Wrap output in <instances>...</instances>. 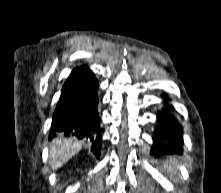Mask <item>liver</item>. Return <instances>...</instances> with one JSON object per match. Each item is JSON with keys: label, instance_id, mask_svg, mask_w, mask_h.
Returning a JSON list of instances; mask_svg holds the SVG:
<instances>
[{"label": "liver", "instance_id": "liver-1", "mask_svg": "<svg viewBox=\"0 0 221 193\" xmlns=\"http://www.w3.org/2000/svg\"><path fill=\"white\" fill-rule=\"evenodd\" d=\"M50 164L56 170L81 150V144L72 139H58L50 144Z\"/></svg>", "mask_w": 221, "mask_h": 193}]
</instances>
